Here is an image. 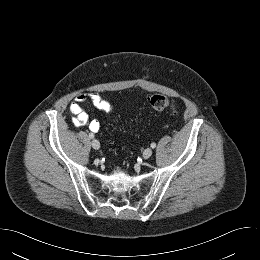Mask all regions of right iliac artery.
I'll use <instances>...</instances> for the list:
<instances>
[{
  "instance_id": "right-iliac-artery-1",
  "label": "right iliac artery",
  "mask_w": 260,
  "mask_h": 260,
  "mask_svg": "<svg viewBox=\"0 0 260 260\" xmlns=\"http://www.w3.org/2000/svg\"><path fill=\"white\" fill-rule=\"evenodd\" d=\"M89 138L93 139L94 138V134L93 133H89Z\"/></svg>"
}]
</instances>
